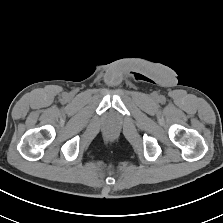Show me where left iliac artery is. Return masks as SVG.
Returning <instances> with one entry per match:
<instances>
[{"mask_svg": "<svg viewBox=\"0 0 223 223\" xmlns=\"http://www.w3.org/2000/svg\"><path fill=\"white\" fill-rule=\"evenodd\" d=\"M160 101L163 102L164 101V97H160Z\"/></svg>", "mask_w": 223, "mask_h": 223, "instance_id": "1", "label": "left iliac artery"}]
</instances>
